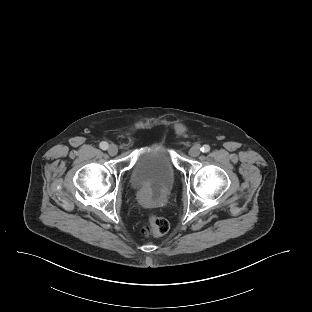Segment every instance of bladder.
Returning a JSON list of instances; mask_svg holds the SVG:
<instances>
[{
	"mask_svg": "<svg viewBox=\"0 0 312 312\" xmlns=\"http://www.w3.org/2000/svg\"><path fill=\"white\" fill-rule=\"evenodd\" d=\"M177 170L164 143L148 145L135 161L130 184L135 189H151L162 193L170 190L176 180Z\"/></svg>",
	"mask_w": 312,
	"mask_h": 312,
	"instance_id": "31cf9c89",
	"label": "bladder"
}]
</instances>
